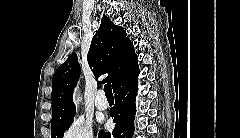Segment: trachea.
<instances>
[{"mask_svg": "<svg viewBox=\"0 0 240 138\" xmlns=\"http://www.w3.org/2000/svg\"><path fill=\"white\" fill-rule=\"evenodd\" d=\"M104 92L107 98H113L112 88L110 84H105Z\"/></svg>", "mask_w": 240, "mask_h": 138, "instance_id": "obj_1", "label": "trachea"}]
</instances>
